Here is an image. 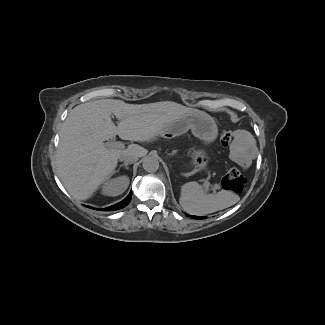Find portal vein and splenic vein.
Returning a JSON list of instances; mask_svg holds the SVG:
<instances>
[{"instance_id": "portal-vein-and-splenic-vein-1", "label": "portal vein and splenic vein", "mask_w": 325, "mask_h": 325, "mask_svg": "<svg viewBox=\"0 0 325 325\" xmlns=\"http://www.w3.org/2000/svg\"><path fill=\"white\" fill-rule=\"evenodd\" d=\"M108 147H118V148H124V145L122 142H112V143H107ZM205 189H208L210 186V183L206 180L203 184Z\"/></svg>"}]
</instances>
